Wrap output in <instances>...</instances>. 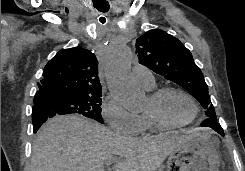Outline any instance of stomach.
<instances>
[{
  "mask_svg": "<svg viewBox=\"0 0 245 171\" xmlns=\"http://www.w3.org/2000/svg\"><path fill=\"white\" fill-rule=\"evenodd\" d=\"M217 147L218 139L211 132L193 133L169 155L167 171H219Z\"/></svg>",
  "mask_w": 245,
  "mask_h": 171,
  "instance_id": "1",
  "label": "stomach"
}]
</instances>
